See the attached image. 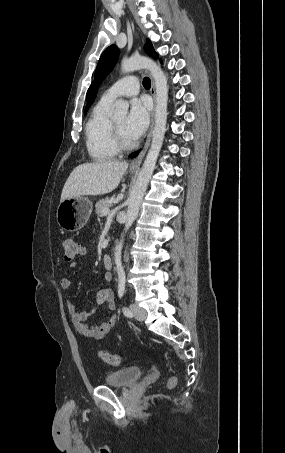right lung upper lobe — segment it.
Returning a JSON list of instances; mask_svg holds the SVG:
<instances>
[{
  "label": "right lung upper lobe",
  "instance_id": "cb5924a9",
  "mask_svg": "<svg viewBox=\"0 0 285 453\" xmlns=\"http://www.w3.org/2000/svg\"><path fill=\"white\" fill-rule=\"evenodd\" d=\"M92 85L90 86L88 93H87V99L89 98L90 92H91Z\"/></svg>",
  "mask_w": 285,
  "mask_h": 453
}]
</instances>
